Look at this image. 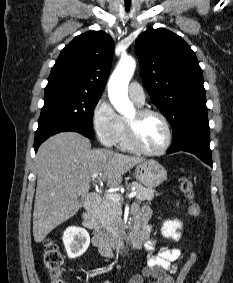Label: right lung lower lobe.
<instances>
[{
	"instance_id": "obj_1",
	"label": "right lung lower lobe",
	"mask_w": 233,
	"mask_h": 283,
	"mask_svg": "<svg viewBox=\"0 0 233 283\" xmlns=\"http://www.w3.org/2000/svg\"><path fill=\"white\" fill-rule=\"evenodd\" d=\"M65 131H74L78 132L90 139H93V134L91 130H88L86 128H82L80 126H76L69 123H52L45 125L41 128H38L35 133V141H34V150L37 152L38 147L43 143L47 138H49L52 135H55L60 132Z\"/></svg>"
}]
</instances>
